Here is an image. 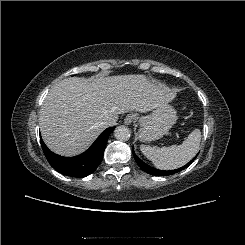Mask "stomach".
I'll return each mask as SVG.
<instances>
[{
    "instance_id": "obj_1",
    "label": "stomach",
    "mask_w": 245,
    "mask_h": 245,
    "mask_svg": "<svg viewBox=\"0 0 245 245\" xmlns=\"http://www.w3.org/2000/svg\"><path fill=\"white\" fill-rule=\"evenodd\" d=\"M176 110L168 103L159 106L151 114L139 119L138 138L141 141H154L165 134L176 123Z\"/></svg>"
}]
</instances>
